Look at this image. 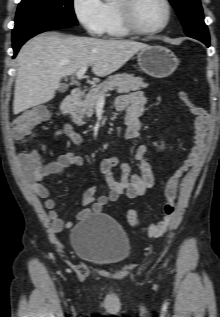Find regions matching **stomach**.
<instances>
[{"mask_svg": "<svg viewBox=\"0 0 220 317\" xmlns=\"http://www.w3.org/2000/svg\"><path fill=\"white\" fill-rule=\"evenodd\" d=\"M137 60L140 69L155 78L171 75L179 63L171 50L160 45L141 49L137 55Z\"/></svg>", "mask_w": 220, "mask_h": 317, "instance_id": "0dacf381", "label": "stomach"}]
</instances>
